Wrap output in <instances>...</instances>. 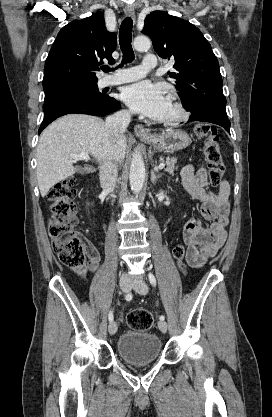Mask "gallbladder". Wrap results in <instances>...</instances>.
<instances>
[{
    "instance_id": "bac80fb5",
    "label": "gallbladder",
    "mask_w": 272,
    "mask_h": 417,
    "mask_svg": "<svg viewBox=\"0 0 272 417\" xmlns=\"http://www.w3.org/2000/svg\"><path fill=\"white\" fill-rule=\"evenodd\" d=\"M76 170H77V172H78V173H80V174L85 173V169H83V168H81V167H77V168H76Z\"/></svg>"
}]
</instances>
